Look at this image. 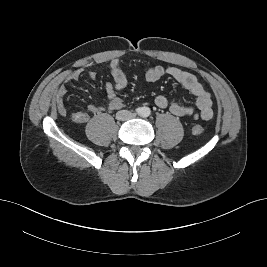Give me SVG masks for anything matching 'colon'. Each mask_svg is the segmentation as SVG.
I'll use <instances>...</instances> for the list:
<instances>
[{"mask_svg":"<svg viewBox=\"0 0 267 267\" xmlns=\"http://www.w3.org/2000/svg\"><path fill=\"white\" fill-rule=\"evenodd\" d=\"M193 132H194L195 134H201V133L204 132V127L201 126V125H194V126H193Z\"/></svg>","mask_w":267,"mask_h":267,"instance_id":"obj_1","label":"colon"}]
</instances>
